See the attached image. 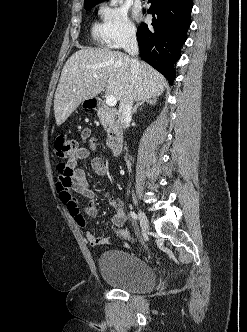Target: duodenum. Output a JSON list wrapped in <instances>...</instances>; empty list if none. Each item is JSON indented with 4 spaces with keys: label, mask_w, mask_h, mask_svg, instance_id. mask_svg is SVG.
Returning <instances> with one entry per match:
<instances>
[{
    "label": "duodenum",
    "mask_w": 247,
    "mask_h": 332,
    "mask_svg": "<svg viewBox=\"0 0 247 332\" xmlns=\"http://www.w3.org/2000/svg\"><path fill=\"white\" fill-rule=\"evenodd\" d=\"M92 108L110 119L111 129L109 135V146L114 154H119L122 150L123 134L117 123V113L110 109L102 100L94 99L91 102Z\"/></svg>",
    "instance_id": "duodenum-1"
}]
</instances>
